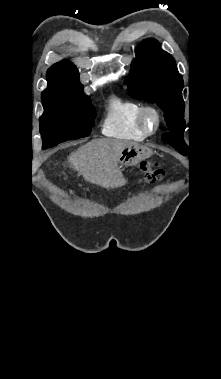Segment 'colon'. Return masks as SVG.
<instances>
[{"mask_svg":"<svg viewBox=\"0 0 221 379\" xmlns=\"http://www.w3.org/2000/svg\"><path fill=\"white\" fill-rule=\"evenodd\" d=\"M139 174L142 182L153 183L163 178L164 170L155 164L142 163L139 167Z\"/></svg>","mask_w":221,"mask_h":379,"instance_id":"colon-1","label":"colon"}]
</instances>
